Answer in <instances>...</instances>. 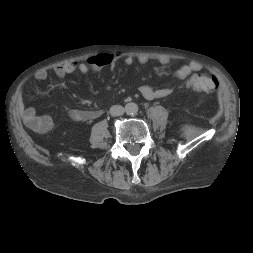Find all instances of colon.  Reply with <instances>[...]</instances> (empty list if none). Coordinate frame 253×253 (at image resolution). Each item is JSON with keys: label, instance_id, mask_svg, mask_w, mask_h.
Listing matches in <instances>:
<instances>
[{"label": "colon", "instance_id": "obj_1", "mask_svg": "<svg viewBox=\"0 0 253 253\" xmlns=\"http://www.w3.org/2000/svg\"><path fill=\"white\" fill-rule=\"evenodd\" d=\"M187 87L199 92L214 93L218 89L217 80L209 75L201 73L191 76L187 81Z\"/></svg>", "mask_w": 253, "mask_h": 253}]
</instances>
